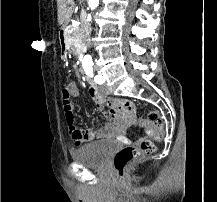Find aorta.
I'll use <instances>...</instances> for the list:
<instances>
[{
  "label": "aorta",
  "instance_id": "aorta-1",
  "mask_svg": "<svg viewBox=\"0 0 217 202\" xmlns=\"http://www.w3.org/2000/svg\"><path fill=\"white\" fill-rule=\"evenodd\" d=\"M90 10H96L99 6V0H88ZM86 60H89V56H86Z\"/></svg>",
  "mask_w": 217,
  "mask_h": 202
}]
</instances>
